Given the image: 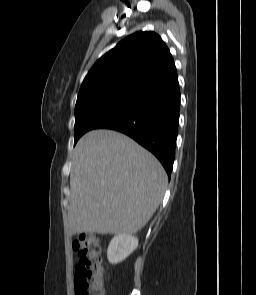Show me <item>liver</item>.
Listing matches in <instances>:
<instances>
[{
  "label": "liver",
  "mask_w": 256,
  "mask_h": 295,
  "mask_svg": "<svg viewBox=\"0 0 256 295\" xmlns=\"http://www.w3.org/2000/svg\"><path fill=\"white\" fill-rule=\"evenodd\" d=\"M167 181L157 158L128 136L112 130L86 133L73 153L70 234L137 232L161 203Z\"/></svg>",
  "instance_id": "1"
}]
</instances>
